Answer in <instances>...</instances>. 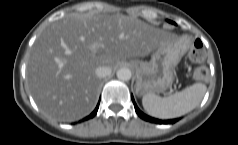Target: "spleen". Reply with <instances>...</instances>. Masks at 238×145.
<instances>
[{
  "label": "spleen",
  "instance_id": "obj_1",
  "mask_svg": "<svg viewBox=\"0 0 238 145\" xmlns=\"http://www.w3.org/2000/svg\"><path fill=\"white\" fill-rule=\"evenodd\" d=\"M206 90L205 84L195 83L164 98L148 93L143 96L142 105L152 117L160 119L176 118L196 108L202 101Z\"/></svg>",
  "mask_w": 238,
  "mask_h": 145
}]
</instances>
